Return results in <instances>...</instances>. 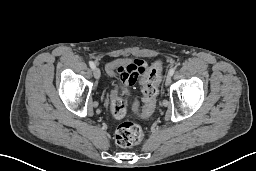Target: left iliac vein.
<instances>
[{
    "mask_svg": "<svg viewBox=\"0 0 256 171\" xmlns=\"http://www.w3.org/2000/svg\"><path fill=\"white\" fill-rule=\"evenodd\" d=\"M171 82V76L168 74L166 79H165V85L168 86Z\"/></svg>",
    "mask_w": 256,
    "mask_h": 171,
    "instance_id": "left-iliac-vein-1",
    "label": "left iliac vein"
}]
</instances>
